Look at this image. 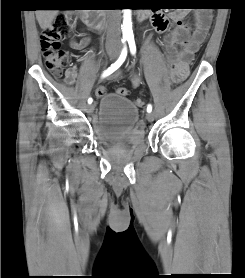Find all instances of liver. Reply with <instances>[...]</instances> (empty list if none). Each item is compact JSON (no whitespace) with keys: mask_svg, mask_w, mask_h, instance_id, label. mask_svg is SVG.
<instances>
[{"mask_svg":"<svg viewBox=\"0 0 245 278\" xmlns=\"http://www.w3.org/2000/svg\"><path fill=\"white\" fill-rule=\"evenodd\" d=\"M57 14V10H37L36 19L41 29L46 30L48 27H50Z\"/></svg>","mask_w":245,"mask_h":278,"instance_id":"1","label":"liver"}]
</instances>
